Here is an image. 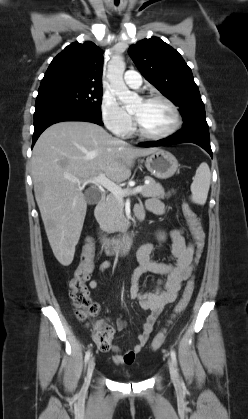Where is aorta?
<instances>
[{
    "label": "aorta",
    "instance_id": "obj_1",
    "mask_svg": "<svg viewBox=\"0 0 248 419\" xmlns=\"http://www.w3.org/2000/svg\"><path fill=\"white\" fill-rule=\"evenodd\" d=\"M125 71L124 58L121 55L112 57L108 63L107 79L110 83L111 91L129 110L140 102L137 94L129 91L123 80V73Z\"/></svg>",
    "mask_w": 248,
    "mask_h": 419
}]
</instances>
